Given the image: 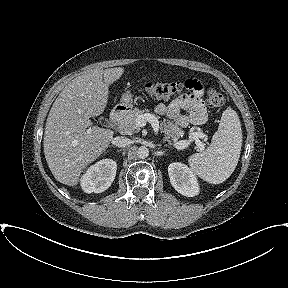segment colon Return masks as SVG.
Wrapping results in <instances>:
<instances>
[{"mask_svg":"<svg viewBox=\"0 0 288 288\" xmlns=\"http://www.w3.org/2000/svg\"><path fill=\"white\" fill-rule=\"evenodd\" d=\"M190 84L187 80L166 83H148L146 92L152 98L168 99L188 89ZM207 102L211 107H220L224 104V96L211 86H207Z\"/></svg>","mask_w":288,"mask_h":288,"instance_id":"5ec220e1","label":"colon"}]
</instances>
